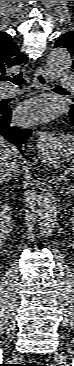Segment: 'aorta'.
<instances>
[{
	"instance_id": "1",
	"label": "aorta",
	"mask_w": 74,
	"mask_h": 366,
	"mask_svg": "<svg viewBox=\"0 0 74 366\" xmlns=\"http://www.w3.org/2000/svg\"><path fill=\"white\" fill-rule=\"evenodd\" d=\"M72 65V56L69 51L63 47L52 49L46 61V71L50 78H61ZM37 224L40 233L45 236H51L58 216V205L53 193L45 191L41 194L37 203Z\"/></svg>"
}]
</instances>
